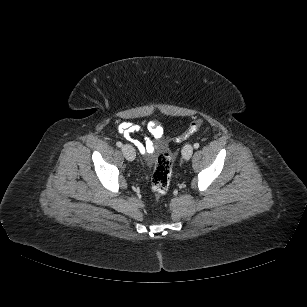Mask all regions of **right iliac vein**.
Here are the masks:
<instances>
[{"instance_id":"63e3f726","label":"right iliac vein","mask_w":307,"mask_h":307,"mask_svg":"<svg viewBox=\"0 0 307 307\" xmlns=\"http://www.w3.org/2000/svg\"><path fill=\"white\" fill-rule=\"evenodd\" d=\"M122 153L124 155V157L129 160V161H133L135 159V150L131 145H124L122 146Z\"/></svg>"}]
</instances>
